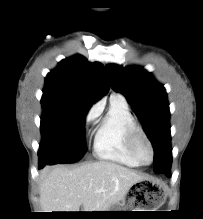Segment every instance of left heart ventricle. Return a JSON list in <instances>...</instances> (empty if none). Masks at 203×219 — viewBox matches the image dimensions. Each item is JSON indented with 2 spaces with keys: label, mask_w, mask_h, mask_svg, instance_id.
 Segmentation results:
<instances>
[{
  "label": "left heart ventricle",
  "mask_w": 203,
  "mask_h": 219,
  "mask_svg": "<svg viewBox=\"0 0 203 219\" xmlns=\"http://www.w3.org/2000/svg\"><path fill=\"white\" fill-rule=\"evenodd\" d=\"M137 150L140 157L144 162H149L151 160V152L147 143L143 139H139L137 142Z\"/></svg>",
  "instance_id": "left-heart-ventricle-1"
}]
</instances>
